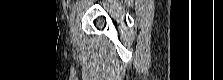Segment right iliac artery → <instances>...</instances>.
Listing matches in <instances>:
<instances>
[{
  "label": "right iliac artery",
  "mask_w": 223,
  "mask_h": 80,
  "mask_svg": "<svg viewBox=\"0 0 223 80\" xmlns=\"http://www.w3.org/2000/svg\"><path fill=\"white\" fill-rule=\"evenodd\" d=\"M76 10H77V4L74 5L72 7V9H71L70 20H69L70 27H72V25H73V22H74V19H75V15H76Z\"/></svg>",
  "instance_id": "obj_1"
}]
</instances>
